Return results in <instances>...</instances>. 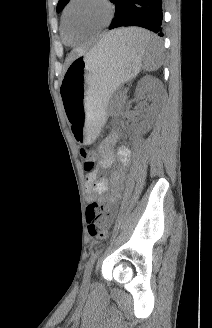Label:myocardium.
<instances>
[{
    "instance_id": "f54148a6",
    "label": "myocardium",
    "mask_w": 212,
    "mask_h": 328,
    "mask_svg": "<svg viewBox=\"0 0 212 328\" xmlns=\"http://www.w3.org/2000/svg\"><path fill=\"white\" fill-rule=\"evenodd\" d=\"M102 4L105 5V7L108 10V16H107V20L100 26L92 28L88 31L85 32V34H91V33H95L98 32L102 29H104L107 24L111 21V19L114 16V12H115V8L114 5L112 3L111 0H99ZM78 2V0H69V2L67 3L66 7L64 8L63 14H62V20H63V24L64 27L67 31H69V24H68V12L70 10V8L76 3Z\"/></svg>"
}]
</instances>
